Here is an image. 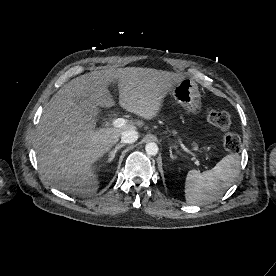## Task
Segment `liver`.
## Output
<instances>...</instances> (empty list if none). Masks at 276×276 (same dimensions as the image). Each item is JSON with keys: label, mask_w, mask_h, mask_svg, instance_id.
Wrapping results in <instances>:
<instances>
[{"label": "liver", "mask_w": 276, "mask_h": 276, "mask_svg": "<svg viewBox=\"0 0 276 276\" xmlns=\"http://www.w3.org/2000/svg\"><path fill=\"white\" fill-rule=\"evenodd\" d=\"M184 77L168 71L126 67L94 71L66 83L44 108L35 136V151L44 178L57 189L90 197L98 190L94 164L126 130L142 121L120 128H96V120L79 107L75 97L109 108L115 102L108 86L117 81L119 104L128 112L150 120L161 110L164 98Z\"/></svg>", "instance_id": "1"}]
</instances>
